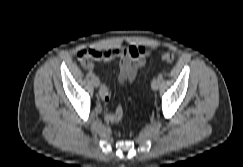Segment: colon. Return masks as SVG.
<instances>
[{"label":"colon","mask_w":243,"mask_h":167,"mask_svg":"<svg viewBox=\"0 0 243 167\" xmlns=\"http://www.w3.org/2000/svg\"><path fill=\"white\" fill-rule=\"evenodd\" d=\"M87 54L86 50H82L78 53L79 56H84ZM161 59L167 63H172L175 59V56L173 53L171 52H163L161 53ZM121 85H125L127 83V79L126 78H120L119 80Z\"/></svg>","instance_id":"1"}]
</instances>
